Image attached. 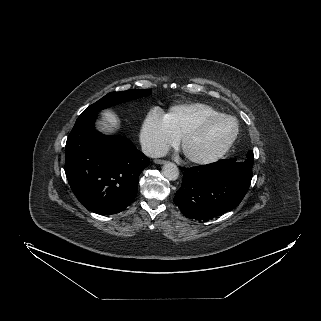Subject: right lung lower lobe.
<instances>
[{
	"label": "right lung lower lobe",
	"instance_id": "98d812e1",
	"mask_svg": "<svg viewBox=\"0 0 321 321\" xmlns=\"http://www.w3.org/2000/svg\"><path fill=\"white\" fill-rule=\"evenodd\" d=\"M96 117L77 119L66 142L65 173L85 208L111 215L135 199L139 175L150 161L127 138L98 132Z\"/></svg>",
	"mask_w": 321,
	"mask_h": 321
}]
</instances>
